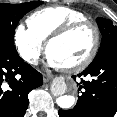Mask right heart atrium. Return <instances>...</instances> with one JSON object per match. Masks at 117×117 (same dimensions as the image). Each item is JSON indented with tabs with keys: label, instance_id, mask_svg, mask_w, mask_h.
Returning a JSON list of instances; mask_svg holds the SVG:
<instances>
[{
	"label": "right heart atrium",
	"instance_id": "d8ad5b80",
	"mask_svg": "<svg viewBox=\"0 0 117 117\" xmlns=\"http://www.w3.org/2000/svg\"><path fill=\"white\" fill-rule=\"evenodd\" d=\"M13 40L20 57L30 65H36L44 52L43 42L29 29L18 24Z\"/></svg>",
	"mask_w": 117,
	"mask_h": 117
}]
</instances>
